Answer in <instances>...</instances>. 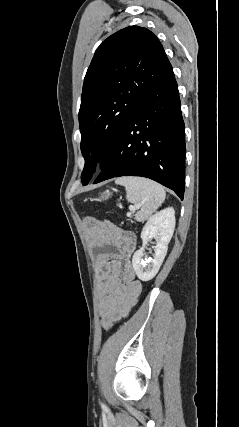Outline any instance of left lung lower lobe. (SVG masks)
I'll return each mask as SVG.
<instances>
[{"instance_id":"left-lung-lower-lobe-1","label":"left lung lower lobe","mask_w":239,"mask_h":427,"mask_svg":"<svg viewBox=\"0 0 239 427\" xmlns=\"http://www.w3.org/2000/svg\"><path fill=\"white\" fill-rule=\"evenodd\" d=\"M173 70L138 104L94 184L141 176L172 189L181 200L185 183V132Z\"/></svg>"}]
</instances>
